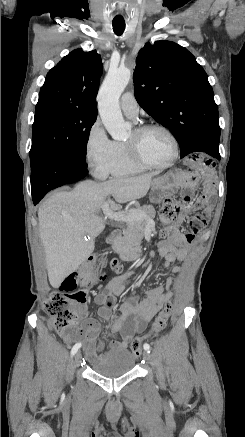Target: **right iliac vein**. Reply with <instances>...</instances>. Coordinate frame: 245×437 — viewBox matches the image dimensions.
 <instances>
[{
  "instance_id": "right-iliac-vein-1",
  "label": "right iliac vein",
  "mask_w": 245,
  "mask_h": 437,
  "mask_svg": "<svg viewBox=\"0 0 245 437\" xmlns=\"http://www.w3.org/2000/svg\"><path fill=\"white\" fill-rule=\"evenodd\" d=\"M81 358H82V355H81V352L79 351L76 353V355L74 357V367L75 368L79 366V364L81 362Z\"/></svg>"
}]
</instances>
